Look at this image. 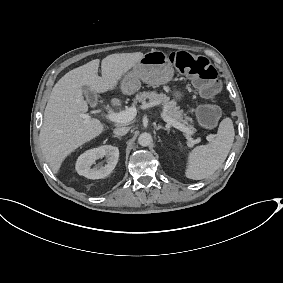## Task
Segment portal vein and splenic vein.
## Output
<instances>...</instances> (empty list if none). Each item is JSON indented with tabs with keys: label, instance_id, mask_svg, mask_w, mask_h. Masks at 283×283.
<instances>
[{
	"label": "portal vein and splenic vein",
	"instance_id": "obj_1",
	"mask_svg": "<svg viewBox=\"0 0 283 283\" xmlns=\"http://www.w3.org/2000/svg\"><path fill=\"white\" fill-rule=\"evenodd\" d=\"M136 115V109L131 107L126 110L120 111V112H113L110 111L107 114H104V118L110 122L114 123H128L130 122ZM164 113H161L160 117H164ZM91 116H87V118H90ZM165 121L168 123H171L175 128L179 129L183 133L187 134L188 136H194L195 132L189 128L188 126L179 123L172 118L165 117ZM212 136L208 135L206 136V140H211ZM201 137H198L196 142H201Z\"/></svg>",
	"mask_w": 283,
	"mask_h": 283
}]
</instances>
